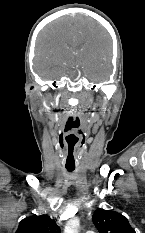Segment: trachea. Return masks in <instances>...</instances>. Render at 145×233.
I'll list each match as a JSON object with an SVG mask.
<instances>
[{
    "label": "trachea",
    "mask_w": 145,
    "mask_h": 233,
    "mask_svg": "<svg viewBox=\"0 0 145 233\" xmlns=\"http://www.w3.org/2000/svg\"><path fill=\"white\" fill-rule=\"evenodd\" d=\"M66 169L68 170V172H73L74 171V169H75V167H66Z\"/></svg>",
    "instance_id": "1"
}]
</instances>
